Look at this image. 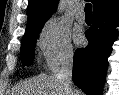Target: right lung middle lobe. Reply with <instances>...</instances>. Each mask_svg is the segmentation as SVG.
Returning a JSON list of instances; mask_svg holds the SVG:
<instances>
[{
  "label": "right lung middle lobe",
  "mask_w": 119,
  "mask_h": 95,
  "mask_svg": "<svg viewBox=\"0 0 119 95\" xmlns=\"http://www.w3.org/2000/svg\"><path fill=\"white\" fill-rule=\"evenodd\" d=\"M43 26L26 32L22 38L21 44V59L23 66H30L34 58V48L36 45V39L39 36Z\"/></svg>",
  "instance_id": "dd1d6c3e"
}]
</instances>
